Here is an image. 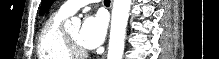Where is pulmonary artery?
Here are the masks:
<instances>
[{"label":"pulmonary artery","mask_w":219,"mask_h":59,"mask_svg":"<svg viewBox=\"0 0 219 59\" xmlns=\"http://www.w3.org/2000/svg\"><path fill=\"white\" fill-rule=\"evenodd\" d=\"M92 0H74V1H67L59 8V12L70 16L74 14L78 9L83 7L86 4H89Z\"/></svg>","instance_id":"1"}]
</instances>
